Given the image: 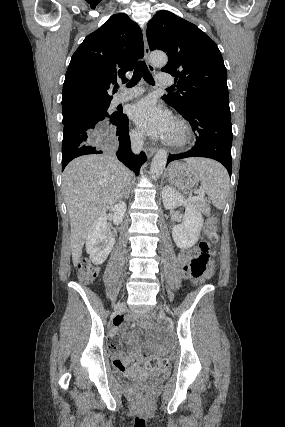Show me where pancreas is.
<instances>
[{
	"mask_svg": "<svg viewBox=\"0 0 285 427\" xmlns=\"http://www.w3.org/2000/svg\"><path fill=\"white\" fill-rule=\"evenodd\" d=\"M193 205L196 206L200 211H202L204 214L209 215L210 214V208L209 205L206 203V201L201 198L199 200H195L191 202Z\"/></svg>",
	"mask_w": 285,
	"mask_h": 427,
	"instance_id": "obj_1",
	"label": "pancreas"
}]
</instances>
